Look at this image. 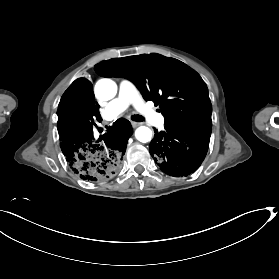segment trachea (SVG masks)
I'll return each instance as SVG.
<instances>
[{
  "instance_id": "3493384b",
  "label": "trachea",
  "mask_w": 279,
  "mask_h": 279,
  "mask_svg": "<svg viewBox=\"0 0 279 279\" xmlns=\"http://www.w3.org/2000/svg\"><path fill=\"white\" fill-rule=\"evenodd\" d=\"M131 119L134 120V121H136V122H142V121H144V118H143L142 116H140V115H132V116H131Z\"/></svg>"
}]
</instances>
